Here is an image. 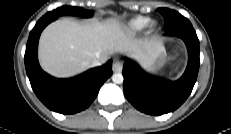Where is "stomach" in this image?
Returning a JSON list of instances; mask_svg holds the SVG:
<instances>
[{"instance_id": "stomach-1", "label": "stomach", "mask_w": 231, "mask_h": 134, "mask_svg": "<svg viewBox=\"0 0 231 134\" xmlns=\"http://www.w3.org/2000/svg\"><path fill=\"white\" fill-rule=\"evenodd\" d=\"M165 60H166V53H165V51L163 49L162 51H160L157 54V56L155 58H153L149 62L142 63V65L144 66V68L147 71L156 72V71H158L162 67V65L164 64Z\"/></svg>"}]
</instances>
